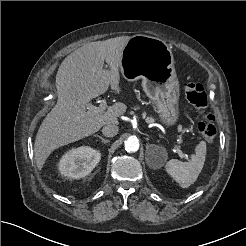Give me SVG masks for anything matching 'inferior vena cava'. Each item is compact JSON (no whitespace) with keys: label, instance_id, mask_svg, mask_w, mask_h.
Returning a JSON list of instances; mask_svg holds the SVG:
<instances>
[{"label":"inferior vena cava","instance_id":"1","mask_svg":"<svg viewBox=\"0 0 246 246\" xmlns=\"http://www.w3.org/2000/svg\"><path fill=\"white\" fill-rule=\"evenodd\" d=\"M118 131V126L112 124L105 125L102 129V133L106 137H114L115 135H117Z\"/></svg>","mask_w":246,"mask_h":246}]
</instances>
